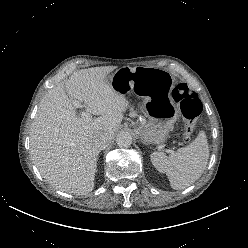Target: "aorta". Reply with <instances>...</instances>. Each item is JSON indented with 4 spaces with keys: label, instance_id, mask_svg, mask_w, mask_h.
<instances>
[{
    "label": "aorta",
    "instance_id": "762f6f07",
    "mask_svg": "<svg viewBox=\"0 0 248 248\" xmlns=\"http://www.w3.org/2000/svg\"><path fill=\"white\" fill-rule=\"evenodd\" d=\"M116 143L121 148H128L132 144V136L129 132L122 131L116 137Z\"/></svg>",
    "mask_w": 248,
    "mask_h": 248
}]
</instances>
